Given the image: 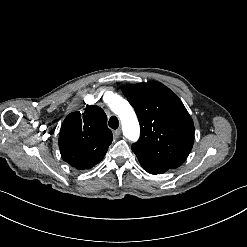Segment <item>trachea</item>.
<instances>
[{"instance_id":"trachea-1","label":"trachea","mask_w":247,"mask_h":247,"mask_svg":"<svg viewBox=\"0 0 247 247\" xmlns=\"http://www.w3.org/2000/svg\"><path fill=\"white\" fill-rule=\"evenodd\" d=\"M109 126L113 129H117L119 127V120L117 119V117L112 116L109 119Z\"/></svg>"}]
</instances>
